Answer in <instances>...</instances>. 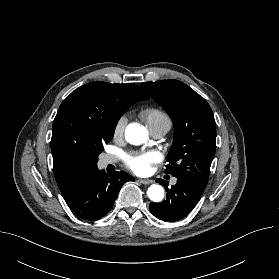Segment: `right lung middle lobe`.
Here are the masks:
<instances>
[{"label": "right lung middle lobe", "mask_w": 279, "mask_h": 279, "mask_svg": "<svg viewBox=\"0 0 279 279\" xmlns=\"http://www.w3.org/2000/svg\"><path fill=\"white\" fill-rule=\"evenodd\" d=\"M129 107H119L116 109V114L118 116V118H120L122 116V114L128 109ZM113 134H114V130H112L110 133H108L104 138L102 139H98L92 146V149H91V153H92V156H93V159H94V165H97L96 162H97V158H98V155L101 153V151H103V144L104 143H108L112 137H113Z\"/></svg>", "instance_id": "right-lung-middle-lobe-1"}]
</instances>
